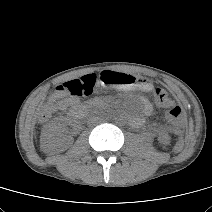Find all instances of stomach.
<instances>
[{
  "mask_svg": "<svg viewBox=\"0 0 212 212\" xmlns=\"http://www.w3.org/2000/svg\"><path fill=\"white\" fill-rule=\"evenodd\" d=\"M101 84L123 90H131L137 86L139 78L123 72H113L110 69L101 71L98 75Z\"/></svg>",
  "mask_w": 212,
  "mask_h": 212,
  "instance_id": "stomach-1",
  "label": "stomach"
}]
</instances>
